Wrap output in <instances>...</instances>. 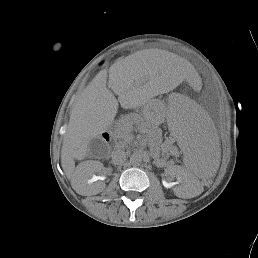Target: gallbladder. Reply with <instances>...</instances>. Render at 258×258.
I'll return each instance as SVG.
<instances>
[{"mask_svg":"<svg viewBox=\"0 0 258 258\" xmlns=\"http://www.w3.org/2000/svg\"><path fill=\"white\" fill-rule=\"evenodd\" d=\"M102 147V143L99 140V138H93L90 140L89 144H88V148L90 150L91 153H95L96 149Z\"/></svg>","mask_w":258,"mask_h":258,"instance_id":"bac80fb5","label":"gallbladder"}]
</instances>
